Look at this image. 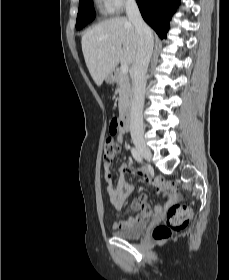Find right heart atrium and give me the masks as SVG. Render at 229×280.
I'll return each mask as SVG.
<instances>
[{"mask_svg": "<svg viewBox=\"0 0 229 280\" xmlns=\"http://www.w3.org/2000/svg\"><path fill=\"white\" fill-rule=\"evenodd\" d=\"M101 10L106 14H115L134 0H98Z\"/></svg>", "mask_w": 229, "mask_h": 280, "instance_id": "d8ad5b80", "label": "right heart atrium"}]
</instances>
